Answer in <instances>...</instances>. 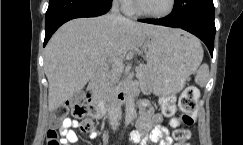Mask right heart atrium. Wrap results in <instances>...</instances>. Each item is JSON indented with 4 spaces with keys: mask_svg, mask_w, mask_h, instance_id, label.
Here are the masks:
<instances>
[{
    "mask_svg": "<svg viewBox=\"0 0 243 145\" xmlns=\"http://www.w3.org/2000/svg\"><path fill=\"white\" fill-rule=\"evenodd\" d=\"M117 1L123 8H127L132 3V0H115Z\"/></svg>",
    "mask_w": 243,
    "mask_h": 145,
    "instance_id": "right-heart-atrium-1",
    "label": "right heart atrium"
}]
</instances>
